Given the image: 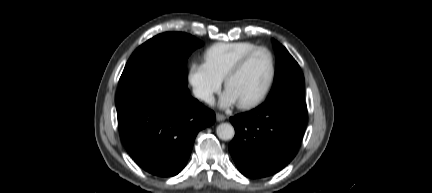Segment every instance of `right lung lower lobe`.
<instances>
[{"mask_svg": "<svg viewBox=\"0 0 432 193\" xmlns=\"http://www.w3.org/2000/svg\"><path fill=\"white\" fill-rule=\"evenodd\" d=\"M118 127L122 142L147 172L177 175L186 165L197 133L215 121L213 111L157 81H144L118 91Z\"/></svg>", "mask_w": 432, "mask_h": 193, "instance_id": "obj_1", "label": "right lung lower lobe"}]
</instances>
